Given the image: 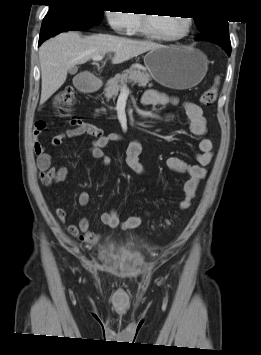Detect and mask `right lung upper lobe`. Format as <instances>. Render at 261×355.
<instances>
[{
    "instance_id": "obj_1",
    "label": "right lung upper lobe",
    "mask_w": 261,
    "mask_h": 355,
    "mask_svg": "<svg viewBox=\"0 0 261 355\" xmlns=\"http://www.w3.org/2000/svg\"><path fill=\"white\" fill-rule=\"evenodd\" d=\"M49 1H51L50 3L54 4V3L61 2V1H64V0H49Z\"/></svg>"
}]
</instances>
